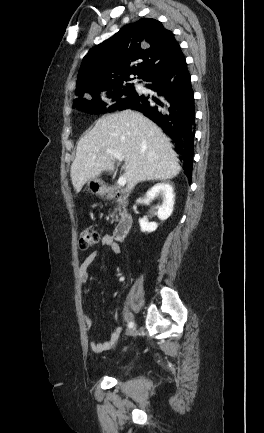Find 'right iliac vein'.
Wrapping results in <instances>:
<instances>
[{"label": "right iliac vein", "mask_w": 264, "mask_h": 433, "mask_svg": "<svg viewBox=\"0 0 264 433\" xmlns=\"http://www.w3.org/2000/svg\"><path fill=\"white\" fill-rule=\"evenodd\" d=\"M135 332H136V328L134 327L133 329H131V330L128 332V336H132V335H134Z\"/></svg>", "instance_id": "1"}]
</instances>
